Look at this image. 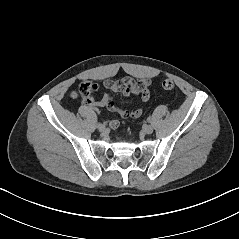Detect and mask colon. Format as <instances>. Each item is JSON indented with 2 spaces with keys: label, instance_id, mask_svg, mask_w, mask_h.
<instances>
[{
  "label": "colon",
  "instance_id": "obj_1",
  "mask_svg": "<svg viewBox=\"0 0 239 239\" xmlns=\"http://www.w3.org/2000/svg\"><path fill=\"white\" fill-rule=\"evenodd\" d=\"M161 86L166 91H172L175 88V84L170 79L162 81ZM94 91V88L90 82L84 83L80 87V95L82 98H87Z\"/></svg>",
  "mask_w": 239,
  "mask_h": 239
}]
</instances>
